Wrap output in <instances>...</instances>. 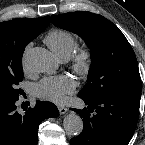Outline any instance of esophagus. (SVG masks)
Here are the masks:
<instances>
[{
    "mask_svg": "<svg viewBox=\"0 0 145 145\" xmlns=\"http://www.w3.org/2000/svg\"><path fill=\"white\" fill-rule=\"evenodd\" d=\"M58 110L61 115H64L67 112V108L64 106H58Z\"/></svg>",
    "mask_w": 145,
    "mask_h": 145,
    "instance_id": "obj_1",
    "label": "esophagus"
}]
</instances>
